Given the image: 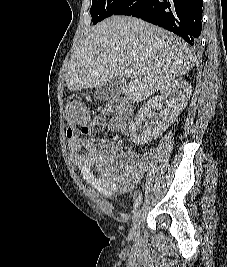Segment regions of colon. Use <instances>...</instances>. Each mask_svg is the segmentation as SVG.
I'll return each instance as SVG.
<instances>
[{
	"label": "colon",
	"mask_w": 227,
	"mask_h": 267,
	"mask_svg": "<svg viewBox=\"0 0 227 267\" xmlns=\"http://www.w3.org/2000/svg\"><path fill=\"white\" fill-rule=\"evenodd\" d=\"M103 112L107 115H115L119 123L129 119L127 106L119 99H113L105 104ZM65 117L71 124L84 125L88 123L90 114L83 103L71 100L65 107Z\"/></svg>",
	"instance_id": "1"
}]
</instances>
